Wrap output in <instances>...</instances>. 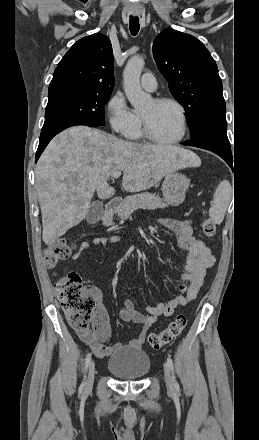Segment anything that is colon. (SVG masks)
I'll use <instances>...</instances> for the list:
<instances>
[{
  "label": "colon",
  "mask_w": 259,
  "mask_h": 440,
  "mask_svg": "<svg viewBox=\"0 0 259 440\" xmlns=\"http://www.w3.org/2000/svg\"><path fill=\"white\" fill-rule=\"evenodd\" d=\"M205 236L212 237L216 233L215 223L206 215L202 222ZM74 246L65 238L52 242L44 253L45 264L49 268L69 258ZM55 291L61 303L68 323L75 329H87L95 309V300L91 287H85L79 274L69 272L59 277L55 283ZM187 325V318L178 315L169 325L158 333L150 334L147 343L154 349H159L177 338Z\"/></svg>",
  "instance_id": "1"
}]
</instances>
